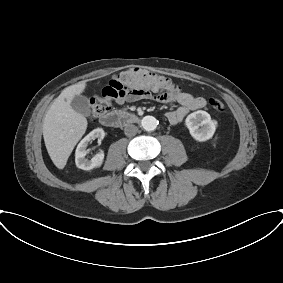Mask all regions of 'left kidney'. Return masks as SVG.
Listing matches in <instances>:
<instances>
[{
  "label": "left kidney",
  "mask_w": 283,
  "mask_h": 283,
  "mask_svg": "<svg viewBox=\"0 0 283 283\" xmlns=\"http://www.w3.org/2000/svg\"><path fill=\"white\" fill-rule=\"evenodd\" d=\"M191 136L199 142L212 138L217 127V121L212 120L206 111L198 110L189 114L185 120Z\"/></svg>",
  "instance_id": "left-kidney-1"
}]
</instances>
